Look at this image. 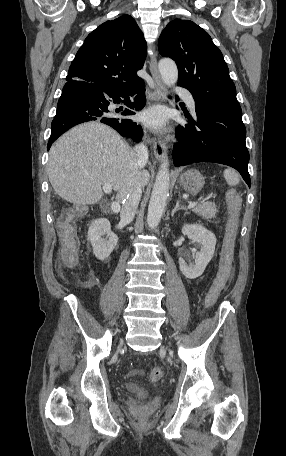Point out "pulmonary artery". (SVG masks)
I'll return each mask as SVG.
<instances>
[{
  "mask_svg": "<svg viewBox=\"0 0 286 456\" xmlns=\"http://www.w3.org/2000/svg\"><path fill=\"white\" fill-rule=\"evenodd\" d=\"M177 94L184 97L188 103V106L190 107V109L194 112L195 111V104H194V100L190 94V92L186 89H177L176 90Z\"/></svg>",
  "mask_w": 286,
  "mask_h": 456,
  "instance_id": "obj_1",
  "label": "pulmonary artery"
}]
</instances>
